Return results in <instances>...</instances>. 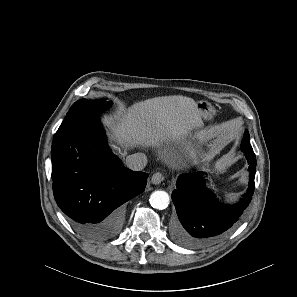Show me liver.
I'll return each mask as SVG.
<instances>
[{
  "label": "liver",
  "instance_id": "6515ba94",
  "mask_svg": "<svg viewBox=\"0 0 297 297\" xmlns=\"http://www.w3.org/2000/svg\"><path fill=\"white\" fill-rule=\"evenodd\" d=\"M110 129L112 147L142 146L161 148L184 140L194 129L202 127L196 102L185 96L173 95L147 99L105 118Z\"/></svg>",
  "mask_w": 297,
  "mask_h": 297
}]
</instances>
